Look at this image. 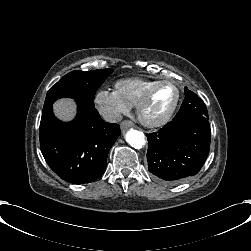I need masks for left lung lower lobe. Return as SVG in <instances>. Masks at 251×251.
<instances>
[{"label": "left lung lower lobe", "mask_w": 251, "mask_h": 251, "mask_svg": "<svg viewBox=\"0 0 251 251\" xmlns=\"http://www.w3.org/2000/svg\"><path fill=\"white\" fill-rule=\"evenodd\" d=\"M210 137L207 117L173 119L157 133L147 134L149 172L166 184H177L196 175L209 154Z\"/></svg>", "instance_id": "0a47b994"}]
</instances>
